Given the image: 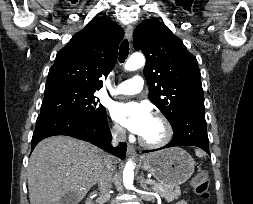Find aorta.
<instances>
[{
    "mask_svg": "<svg viewBox=\"0 0 253 204\" xmlns=\"http://www.w3.org/2000/svg\"><path fill=\"white\" fill-rule=\"evenodd\" d=\"M145 64V57L141 53L132 54L127 62L125 63V70L133 71L141 68ZM134 179V165L131 160H129L123 171V183L126 189L133 188Z\"/></svg>",
    "mask_w": 253,
    "mask_h": 204,
    "instance_id": "762f6f07",
    "label": "aorta"
}]
</instances>
